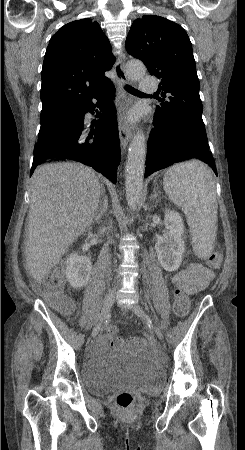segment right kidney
Returning a JSON list of instances; mask_svg holds the SVG:
<instances>
[{"mask_svg":"<svg viewBox=\"0 0 245 450\" xmlns=\"http://www.w3.org/2000/svg\"><path fill=\"white\" fill-rule=\"evenodd\" d=\"M91 269V261L86 256L72 253L66 260V278L73 288L80 289L87 285Z\"/></svg>","mask_w":245,"mask_h":450,"instance_id":"obj_1","label":"right kidney"}]
</instances>
